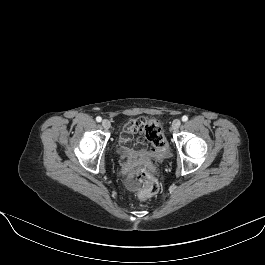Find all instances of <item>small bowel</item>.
<instances>
[{"instance_id":"small-bowel-1","label":"small bowel","mask_w":265,"mask_h":265,"mask_svg":"<svg viewBox=\"0 0 265 265\" xmlns=\"http://www.w3.org/2000/svg\"><path fill=\"white\" fill-rule=\"evenodd\" d=\"M144 119L131 120L123 126V131L120 137V141L123 145L124 152L127 158L130 160L136 152L144 146L141 139H137L135 144L132 146L131 142L136 133L143 131ZM130 161L126 164V170L129 171Z\"/></svg>"}]
</instances>
